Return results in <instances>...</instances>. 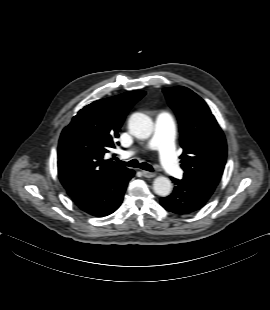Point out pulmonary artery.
I'll list each match as a JSON object with an SVG mask.
<instances>
[{
  "label": "pulmonary artery",
  "mask_w": 270,
  "mask_h": 310,
  "mask_svg": "<svg viewBox=\"0 0 270 310\" xmlns=\"http://www.w3.org/2000/svg\"><path fill=\"white\" fill-rule=\"evenodd\" d=\"M175 121L173 115L168 111L160 112L155 119V130L148 142L150 149H157L162 165L166 171L173 176L179 177L183 170L175 155ZM134 150L125 152V156H132Z\"/></svg>",
  "instance_id": "1"
}]
</instances>
